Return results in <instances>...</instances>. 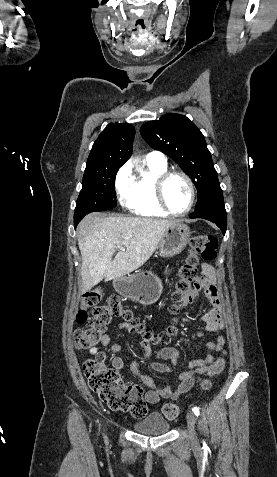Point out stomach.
I'll use <instances>...</instances> for the list:
<instances>
[{
	"label": "stomach",
	"instance_id": "1",
	"mask_svg": "<svg viewBox=\"0 0 277 477\" xmlns=\"http://www.w3.org/2000/svg\"><path fill=\"white\" fill-rule=\"evenodd\" d=\"M190 228L176 221L164 232L160 244L162 257L180 254L190 241ZM116 291L124 297L136 300L142 305L155 303L162 293V283L151 272H141L129 277H119L113 281Z\"/></svg>",
	"mask_w": 277,
	"mask_h": 477
}]
</instances>
